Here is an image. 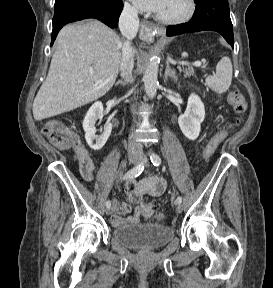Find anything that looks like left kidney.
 Wrapping results in <instances>:
<instances>
[{
	"label": "left kidney",
	"mask_w": 273,
	"mask_h": 288,
	"mask_svg": "<svg viewBox=\"0 0 273 288\" xmlns=\"http://www.w3.org/2000/svg\"><path fill=\"white\" fill-rule=\"evenodd\" d=\"M204 118V104L198 95L192 93L188 98L185 112L178 118L179 127L186 138L192 141L197 139Z\"/></svg>",
	"instance_id": "left-kidney-1"
}]
</instances>
